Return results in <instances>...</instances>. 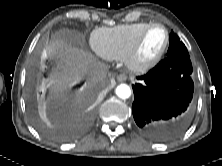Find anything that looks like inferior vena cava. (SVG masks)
Segmentation results:
<instances>
[{"mask_svg":"<svg viewBox=\"0 0 222 166\" xmlns=\"http://www.w3.org/2000/svg\"><path fill=\"white\" fill-rule=\"evenodd\" d=\"M107 70L108 68L105 64H96L92 66L87 72L88 82L90 84H96L103 81Z\"/></svg>","mask_w":222,"mask_h":166,"instance_id":"1","label":"inferior vena cava"}]
</instances>
